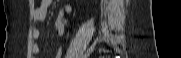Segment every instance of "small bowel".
<instances>
[{
  "instance_id": "c3829d8e",
  "label": "small bowel",
  "mask_w": 181,
  "mask_h": 58,
  "mask_svg": "<svg viewBox=\"0 0 181 58\" xmlns=\"http://www.w3.org/2000/svg\"><path fill=\"white\" fill-rule=\"evenodd\" d=\"M51 4V0H42L37 6L33 12V19L36 22H42L46 19L47 16V10L49 5ZM71 12V7L67 5L60 14V17L55 21V30L59 35H63L65 32V29L67 27V20L65 18L66 14H69ZM33 38L38 39L40 36V32L38 29H34L32 32ZM40 51V48L37 44H34L32 47L33 54H38ZM61 53L60 49L58 50V55Z\"/></svg>"
}]
</instances>
